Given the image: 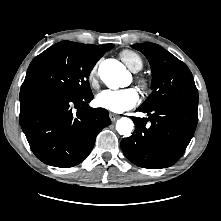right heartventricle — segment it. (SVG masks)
Returning a JSON list of instances; mask_svg holds the SVG:
<instances>
[{
    "instance_id": "e07e8e85",
    "label": "right heart ventricle",
    "mask_w": 221,
    "mask_h": 221,
    "mask_svg": "<svg viewBox=\"0 0 221 221\" xmlns=\"http://www.w3.org/2000/svg\"><path fill=\"white\" fill-rule=\"evenodd\" d=\"M119 56L132 71L136 72L142 69L144 62L137 52L124 49L119 53Z\"/></svg>"
}]
</instances>
